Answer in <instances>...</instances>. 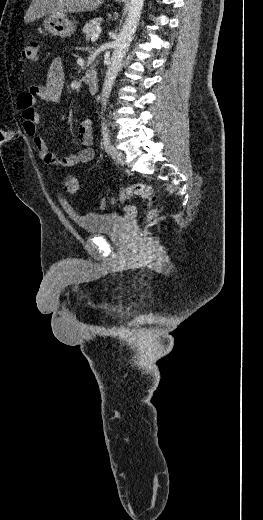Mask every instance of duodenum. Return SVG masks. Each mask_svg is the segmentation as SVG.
<instances>
[{"label": "duodenum", "instance_id": "obj_1", "mask_svg": "<svg viewBox=\"0 0 263 520\" xmlns=\"http://www.w3.org/2000/svg\"><path fill=\"white\" fill-rule=\"evenodd\" d=\"M86 80H87L88 89H89L90 94L95 95L99 89V83H98L97 76L90 73L86 76Z\"/></svg>", "mask_w": 263, "mask_h": 520}]
</instances>
